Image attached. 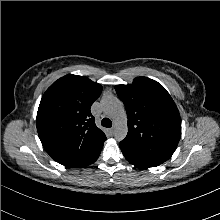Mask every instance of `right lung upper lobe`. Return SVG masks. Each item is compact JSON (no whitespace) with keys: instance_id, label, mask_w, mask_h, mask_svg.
<instances>
[{"instance_id":"right-lung-upper-lobe-1","label":"right lung upper lobe","mask_w":220,"mask_h":220,"mask_svg":"<svg viewBox=\"0 0 220 220\" xmlns=\"http://www.w3.org/2000/svg\"><path fill=\"white\" fill-rule=\"evenodd\" d=\"M102 86L68 74L44 93L37 112V130L47 153L67 167H85L97 160L106 136L90 112Z\"/></svg>"}]
</instances>
